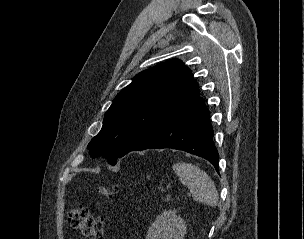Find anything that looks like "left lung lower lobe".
<instances>
[{
	"instance_id": "obj_1",
	"label": "left lung lower lobe",
	"mask_w": 304,
	"mask_h": 239,
	"mask_svg": "<svg viewBox=\"0 0 304 239\" xmlns=\"http://www.w3.org/2000/svg\"><path fill=\"white\" fill-rule=\"evenodd\" d=\"M210 112L199 97L186 109L164 123L133 150L172 148L200 156L218 172V151L213 144ZM131 150V151H133Z\"/></svg>"
}]
</instances>
